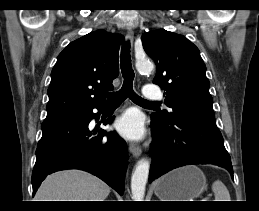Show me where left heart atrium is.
<instances>
[{"mask_svg": "<svg viewBox=\"0 0 259 211\" xmlns=\"http://www.w3.org/2000/svg\"><path fill=\"white\" fill-rule=\"evenodd\" d=\"M116 130L125 138L141 139L144 135V126L141 116L134 111L123 114L115 123Z\"/></svg>", "mask_w": 259, "mask_h": 211, "instance_id": "obj_1", "label": "left heart atrium"}]
</instances>
